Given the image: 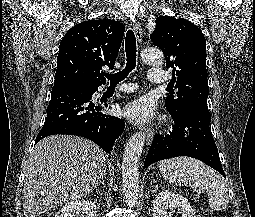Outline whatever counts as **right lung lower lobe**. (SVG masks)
I'll use <instances>...</instances> for the list:
<instances>
[{
    "label": "right lung lower lobe",
    "mask_w": 255,
    "mask_h": 217,
    "mask_svg": "<svg viewBox=\"0 0 255 217\" xmlns=\"http://www.w3.org/2000/svg\"><path fill=\"white\" fill-rule=\"evenodd\" d=\"M98 87H53L51 101L47 107V118L35 143L55 134L77 135L95 142L106 153H110L125 124L118 117L101 113L103 107L91 102ZM105 107L108 105L105 104Z\"/></svg>",
    "instance_id": "obj_1"
}]
</instances>
